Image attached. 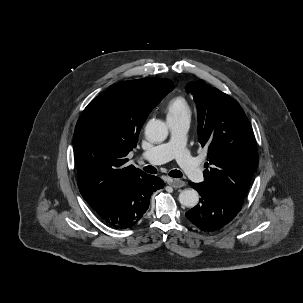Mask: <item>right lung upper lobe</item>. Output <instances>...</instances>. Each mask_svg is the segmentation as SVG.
<instances>
[{"mask_svg":"<svg viewBox=\"0 0 303 303\" xmlns=\"http://www.w3.org/2000/svg\"><path fill=\"white\" fill-rule=\"evenodd\" d=\"M174 88L169 79L143 78L113 84L82 112L74 131L77 184L93 207L107 191L142 173L125 166L149 112Z\"/></svg>","mask_w":303,"mask_h":303,"instance_id":"right-lung-upper-lobe-1","label":"right lung upper lobe"}]
</instances>
